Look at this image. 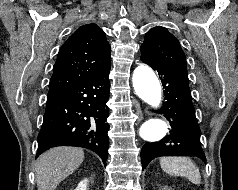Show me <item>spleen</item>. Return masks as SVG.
<instances>
[{
	"label": "spleen",
	"instance_id": "obj_1",
	"mask_svg": "<svg viewBox=\"0 0 238 190\" xmlns=\"http://www.w3.org/2000/svg\"><path fill=\"white\" fill-rule=\"evenodd\" d=\"M160 166L169 175L187 177L195 185L201 183L198 167L187 157H163Z\"/></svg>",
	"mask_w": 238,
	"mask_h": 190
}]
</instances>
